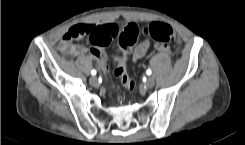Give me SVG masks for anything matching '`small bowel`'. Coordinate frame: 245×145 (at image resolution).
I'll use <instances>...</instances> for the list:
<instances>
[{
    "instance_id": "c3829d8e",
    "label": "small bowel",
    "mask_w": 245,
    "mask_h": 145,
    "mask_svg": "<svg viewBox=\"0 0 245 145\" xmlns=\"http://www.w3.org/2000/svg\"><path fill=\"white\" fill-rule=\"evenodd\" d=\"M93 27L94 31H96V37L92 40V46L90 48H86L82 45L72 44L70 41L62 40L59 44V50L65 55L75 57L78 56L79 53H89L94 59L98 61L100 66H103L105 52L104 48L109 44L111 36L108 31L110 26H119L116 23H102V24H87ZM150 47V43L142 42L138 44L133 51V59L138 60L142 58ZM159 50H164L165 48L162 45H157Z\"/></svg>"
}]
</instances>
